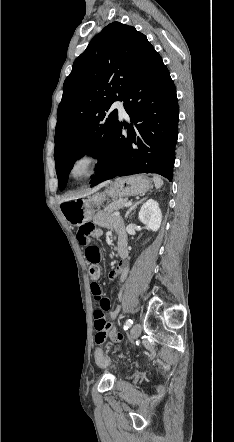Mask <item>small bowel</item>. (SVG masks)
<instances>
[{
	"mask_svg": "<svg viewBox=\"0 0 234 442\" xmlns=\"http://www.w3.org/2000/svg\"><path fill=\"white\" fill-rule=\"evenodd\" d=\"M95 222L100 227H111L117 233L118 242H122V246L118 247V254L121 257V260L115 267V269L110 273V279L113 280L115 278H119L121 284L126 280L129 273V266L127 262L128 249H127V237L124 230V222L123 220L116 215H106L104 213H99L95 217ZM102 235V231L100 229H96L94 238H98ZM94 287V283L91 284V291ZM124 296L123 290L120 289L117 297L118 300H122ZM120 306H117L110 312L111 319L116 318L120 313ZM109 321L108 314H95L93 326L96 331L95 341L97 344H103L106 342L107 337H109L111 342H118L122 339L120 333H118L114 327L113 323ZM107 330V331H106ZM106 332V333H105ZM105 333V334H104ZM99 340H97V339ZM114 347H120V344H114ZM115 357H118V354H115Z\"/></svg>",
	"mask_w": 234,
	"mask_h": 442,
	"instance_id": "obj_1",
	"label": "small bowel"
}]
</instances>
